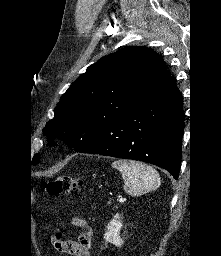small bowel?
Listing matches in <instances>:
<instances>
[{
	"label": "small bowel",
	"mask_w": 221,
	"mask_h": 256,
	"mask_svg": "<svg viewBox=\"0 0 221 256\" xmlns=\"http://www.w3.org/2000/svg\"><path fill=\"white\" fill-rule=\"evenodd\" d=\"M73 222L83 227L84 231L77 241H62L60 248L70 256H91V230L83 220L74 219Z\"/></svg>",
	"instance_id": "small-bowel-1"
}]
</instances>
